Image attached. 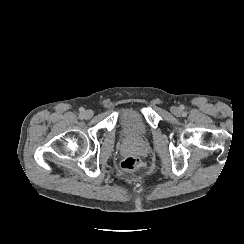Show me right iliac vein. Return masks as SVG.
I'll return each instance as SVG.
<instances>
[{"instance_id":"1","label":"right iliac vein","mask_w":244,"mask_h":244,"mask_svg":"<svg viewBox=\"0 0 244 244\" xmlns=\"http://www.w3.org/2000/svg\"><path fill=\"white\" fill-rule=\"evenodd\" d=\"M85 118H91L93 116V112L91 110H86L83 114Z\"/></svg>"}]
</instances>
